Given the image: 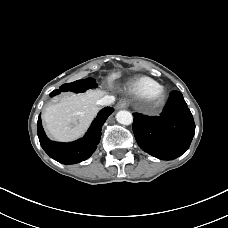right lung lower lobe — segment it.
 Wrapping results in <instances>:
<instances>
[{
	"instance_id": "1",
	"label": "right lung lower lobe",
	"mask_w": 228,
	"mask_h": 228,
	"mask_svg": "<svg viewBox=\"0 0 228 228\" xmlns=\"http://www.w3.org/2000/svg\"><path fill=\"white\" fill-rule=\"evenodd\" d=\"M59 93V90H55L50 96L52 97ZM113 111L114 109L110 107L101 110L86 135L70 143L54 142L48 139L43 131L41 117L39 116L37 130L40 144L51 158L62 164H75L86 160L95 152L101 138L102 125Z\"/></svg>"
}]
</instances>
